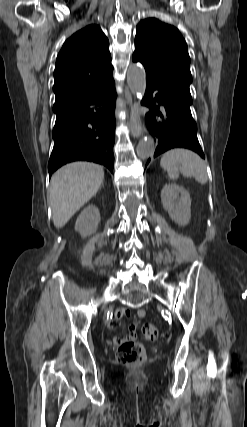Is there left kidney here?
I'll use <instances>...</instances> for the list:
<instances>
[{
	"instance_id": "obj_1",
	"label": "left kidney",
	"mask_w": 247,
	"mask_h": 427,
	"mask_svg": "<svg viewBox=\"0 0 247 427\" xmlns=\"http://www.w3.org/2000/svg\"><path fill=\"white\" fill-rule=\"evenodd\" d=\"M161 202L170 218L179 226H186L191 219L189 192L175 183L165 184L161 191Z\"/></svg>"
}]
</instances>
